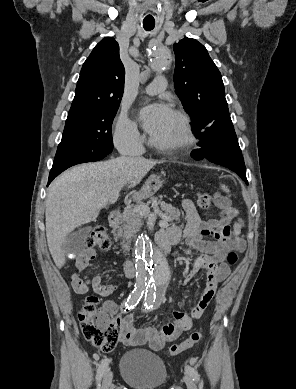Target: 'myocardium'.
Here are the masks:
<instances>
[{
    "mask_svg": "<svg viewBox=\"0 0 296 389\" xmlns=\"http://www.w3.org/2000/svg\"><path fill=\"white\" fill-rule=\"evenodd\" d=\"M180 121L181 135L180 137L172 142H159L153 137L150 138V143L157 149L164 151H178L182 150L194 141V134L192 131L191 121L188 115L180 110L173 109L171 111Z\"/></svg>",
    "mask_w": 296,
    "mask_h": 389,
    "instance_id": "f54148a6",
    "label": "myocardium"
}]
</instances>
